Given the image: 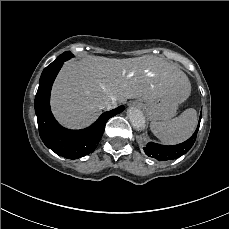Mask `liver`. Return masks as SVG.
Wrapping results in <instances>:
<instances>
[{"label":"liver","mask_w":229,"mask_h":229,"mask_svg":"<svg viewBox=\"0 0 229 229\" xmlns=\"http://www.w3.org/2000/svg\"><path fill=\"white\" fill-rule=\"evenodd\" d=\"M190 92L185 74L156 56L109 59L89 56L68 62L54 85L52 106L57 118L79 127L101 113L105 101L127 99L181 102Z\"/></svg>","instance_id":"1"}]
</instances>
